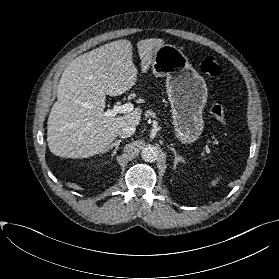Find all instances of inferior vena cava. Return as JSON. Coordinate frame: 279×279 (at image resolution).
Wrapping results in <instances>:
<instances>
[{"label": "inferior vena cava", "instance_id": "obj_1", "mask_svg": "<svg viewBox=\"0 0 279 279\" xmlns=\"http://www.w3.org/2000/svg\"><path fill=\"white\" fill-rule=\"evenodd\" d=\"M136 131L135 126L132 125H127L124 126L118 133L120 138H128L130 136H132Z\"/></svg>", "mask_w": 279, "mask_h": 279}]
</instances>
